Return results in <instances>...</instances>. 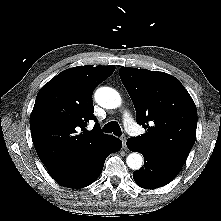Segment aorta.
<instances>
[{
    "label": "aorta",
    "instance_id": "1",
    "mask_svg": "<svg viewBox=\"0 0 221 221\" xmlns=\"http://www.w3.org/2000/svg\"><path fill=\"white\" fill-rule=\"evenodd\" d=\"M96 102L103 108L115 109L121 105L120 94L113 88L100 87L95 92ZM128 167L132 170H139L142 167L143 157L139 153H131L126 158Z\"/></svg>",
    "mask_w": 221,
    "mask_h": 221
}]
</instances>
